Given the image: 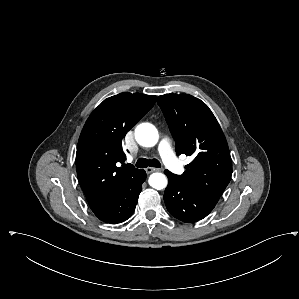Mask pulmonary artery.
I'll use <instances>...</instances> for the list:
<instances>
[{"label":"pulmonary artery","mask_w":299,"mask_h":299,"mask_svg":"<svg viewBox=\"0 0 299 299\" xmlns=\"http://www.w3.org/2000/svg\"><path fill=\"white\" fill-rule=\"evenodd\" d=\"M158 151L162 157L165 166L171 170L174 174L180 175L183 172V166L177 159L173 152L170 141L167 138H163L159 145Z\"/></svg>","instance_id":"e3ab8cb5"}]
</instances>
